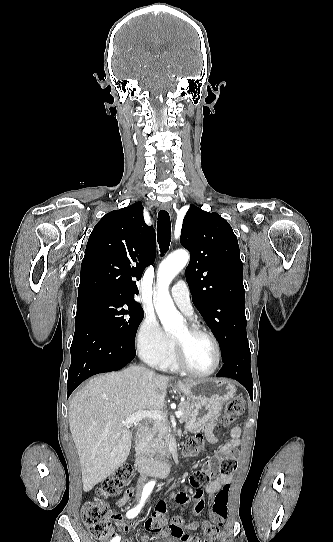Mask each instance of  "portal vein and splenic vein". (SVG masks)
<instances>
[{
    "label": "portal vein and splenic vein",
    "instance_id": "obj_1",
    "mask_svg": "<svg viewBox=\"0 0 333 542\" xmlns=\"http://www.w3.org/2000/svg\"><path fill=\"white\" fill-rule=\"evenodd\" d=\"M176 418H181L182 412H174ZM144 418H152V420H163V412H159V410H150V412H144V410H138V412H135V414H132V416H128L126 420H123L122 424L124 426H131V424H137V422H141V420H144Z\"/></svg>",
    "mask_w": 333,
    "mask_h": 542
}]
</instances>
